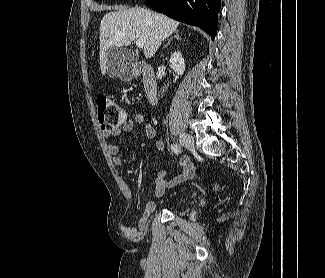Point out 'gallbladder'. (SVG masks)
Returning a JSON list of instances; mask_svg holds the SVG:
<instances>
[{
	"label": "gallbladder",
	"instance_id": "gallbladder-1",
	"mask_svg": "<svg viewBox=\"0 0 325 278\" xmlns=\"http://www.w3.org/2000/svg\"><path fill=\"white\" fill-rule=\"evenodd\" d=\"M137 55L126 48L113 47L107 55V73L111 78L121 75L125 60L134 61Z\"/></svg>",
	"mask_w": 325,
	"mask_h": 278
}]
</instances>
